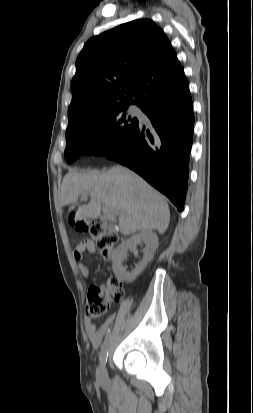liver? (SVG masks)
Wrapping results in <instances>:
<instances>
[{
  "label": "liver",
  "mask_w": 253,
  "mask_h": 413,
  "mask_svg": "<svg viewBox=\"0 0 253 413\" xmlns=\"http://www.w3.org/2000/svg\"><path fill=\"white\" fill-rule=\"evenodd\" d=\"M85 194L91 200L79 205L76 221L97 219L104 204L119 213L120 231L125 236L153 229L163 234L168 228L170 211L164 197L125 167L113 166L102 174L70 170L62 181L61 204H76Z\"/></svg>",
  "instance_id": "liver-1"
}]
</instances>
